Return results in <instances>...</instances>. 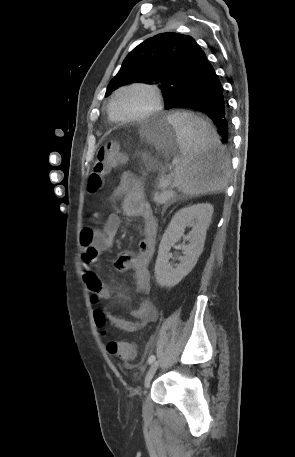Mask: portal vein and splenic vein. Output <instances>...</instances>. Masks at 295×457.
Wrapping results in <instances>:
<instances>
[{
  "instance_id": "18ae733b",
  "label": "portal vein and splenic vein",
  "mask_w": 295,
  "mask_h": 457,
  "mask_svg": "<svg viewBox=\"0 0 295 457\" xmlns=\"http://www.w3.org/2000/svg\"><path fill=\"white\" fill-rule=\"evenodd\" d=\"M160 183L162 186H166L167 183H168V176H162L161 179H160Z\"/></svg>"
}]
</instances>
